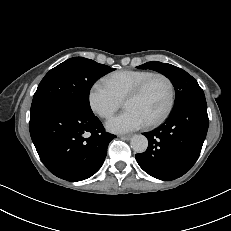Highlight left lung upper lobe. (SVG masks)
<instances>
[{"label": "left lung upper lobe", "instance_id": "obj_1", "mask_svg": "<svg viewBox=\"0 0 231 231\" xmlns=\"http://www.w3.org/2000/svg\"><path fill=\"white\" fill-rule=\"evenodd\" d=\"M138 68L155 70L170 79L176 91L174 107L179 104L186 95L202 91L197 81L191 75L171 64L152 61L140 65Z\"/></svg>", "mask_w": 231, "mask_h": 231}]
</instances>
